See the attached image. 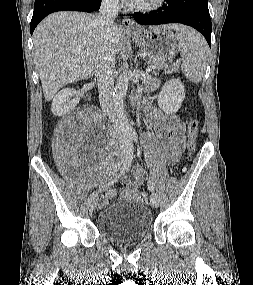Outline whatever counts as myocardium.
<instances>
[{
	"label": "myocardium",
	"instance_id": "f54148a6",
	"mask_svg": "<svg viewBox=\"0 0 253 285\" xmlns=\"http://www.w3.org/2000/svg\"><path fill=\"white\" fill-rule=\"evenodd\" d=\"M166 0H152L147 3H136L133 2L130 6L132 9L141 12H150L159 9L164 5Z\"/></svg>",
	"mask_w": 253,
	"mask_h": 285
}]
</instances>
